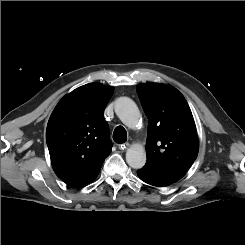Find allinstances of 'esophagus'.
Listing matches in <instances>:
<instances>
[{
	"label": "esophagus",
	"instance_id": "esophagus-1",
	"mask_svg": "<svg viewBox=\"0 0 245 245\" xmlns=\"http://www.w3.org/2000/svg\"><path fill=\"white\" fill-rule=\"evenodd\" d=\"M130 146L129 143H123L118 146V148L122 151L126 150Z\"/></svg>",
	"mask_w": 245,
	"mask_h": 245
}]
</instances>
